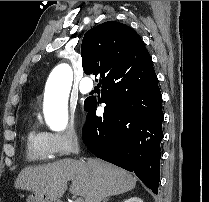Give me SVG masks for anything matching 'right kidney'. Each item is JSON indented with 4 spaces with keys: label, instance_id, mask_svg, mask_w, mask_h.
<instances>
[{
    "label": "right kidney",
    "instance_id": "ca27d5eb",
    "mask_svg": "<svg viewBox=\"0 0 209 202\" xmlns=\"http://www.w3.org/2000/svg\"><path fill=\"white\" fill-rule=\"evenodd\" d=\"M124 202H143V201L139 197H131V198L125 200Z\"/></svg>",
    "mask_w": 209,
    "mask_h": 202
}]
</instances>
